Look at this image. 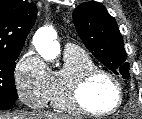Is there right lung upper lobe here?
Returning <instances> with one entry per match:
<instances>
[{"mask_svg":"<svg viewBox=\"0 0 142 119\" xmlns=\"http://www.w3.org/2000/svg\"><path fill=\"white\" fill-rule=\"evenodd\" d=\"M37 16L34 4L0 0V55L20 53Z\"/></svg>","mask_w":142,"mask_h":119,"instance_id":"cb5924a9","label":"right lung upper lobe"}]
</instances>
